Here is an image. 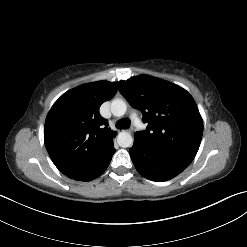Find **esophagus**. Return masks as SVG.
I'll list each match as a JSON object with an SVG mask.
<instances>
[{"mask_svg": "<svg viewBox=\"0 0 247 247\" xmlns=\"http://www.w3.org/2000/svg\"><path fill=\"white\" fill-rule=\"evenodd\" d=\"M133 130V127H131L130 129H128L127 131L131 132Z\"/></svg>", "mask_w": 247, "mask_h": 247, "instance_id": "obj_1", "label": "esophagus"}]
</instances>
